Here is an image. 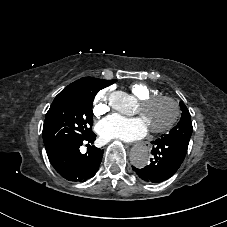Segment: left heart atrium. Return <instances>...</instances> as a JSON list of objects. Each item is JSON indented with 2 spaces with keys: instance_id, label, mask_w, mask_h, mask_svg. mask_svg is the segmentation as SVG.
<instances>
[{
  "instance_id": "obj_1",
  "label": "left heart atrium",
  "mask_w": 227,
  "mask_h": 227,
  "mask_svg": "<svg viewBox=\"0 0 227 227\" xmlns=\"http://www.w3.org/2000/svg\"><path fill=\"white\" fill-rule=\"evenodd\" d=\"M148 129L141 117L125 119L117 115L107 117L97 125V132L100 138L105 141L112 139L138 140L146 136Z\"/></svg>"
}]
</instances>
